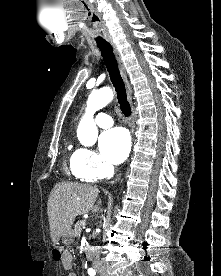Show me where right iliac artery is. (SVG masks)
<instances>
[{
    "instance_id": "82829eb1",
    "label": "right iliac artery",
    "mask_w": 221,
    "mask_h": 276,
    "mask_svg": "<svg viewBox=\"0 0 221 276\" xmlns=\"http://www.w3.org/2000/svg\"><path fill=\"white\" fill-rule=\"evenodd\" d=\"M88 274L90 275V276H94L95 274H96V272H95V270L94 269H89L88 270Z\"/></svg>"
}]
</instances>
